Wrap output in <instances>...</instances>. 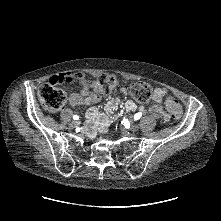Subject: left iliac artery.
<instances>
[{"mask_svg":"<svg viewBox=\"0 0 221 221\" xmlns=\"http://www.w3.org/2000/svg\"><path fill=\"white\" fill-rule=\"evenodd\" d=\"M141 116H142V113H137V114L134 116V120H138V119H140ZM122 123H124L125 126L129 125L127 119H124Z\"/></svg>","mask_w":221,"mask_h":221,"instance_id":"1","label":"left iliac artery"}]
</instances>
